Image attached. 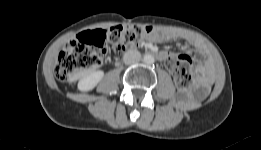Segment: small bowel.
Instances as JSON below:
<instances>
[{"label":"small bowel","mask_w":261,"mask_h":150,"mask_svg":"<svg viewBox=\"0 0 261 150\" xmlns=\"http://www.w3.org/2000/svg\"><path fill=\"white\" fill-rule=\"evenodd\" d=\"M150 42L159 43L168 40H176V39H184L192 44L197 50L202 51L203 47L201 43L193 37H190L185 34H181L175 31H168V30H159L153 29L151 33L147 36ZM158 58L165 61L167 65V61L172 57V54L168 51H160L157 54Z\"/></svg>","instance_id":"c3829d8e"}]
</instances>
